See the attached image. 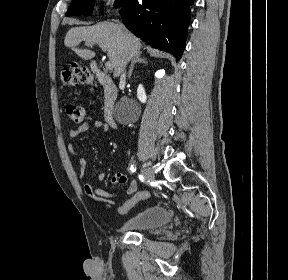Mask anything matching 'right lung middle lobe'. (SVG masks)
I'll use <instances>...</instances> for the list:
<instances>
[{
  "mask_svg": "<svg viewBox=\"0 0 288 280\" xmlns=\"http://www.w3.org/2000/svg\"><path fill=\"white\" fill-rule=\"evenodd\" d=\"M123 1L124 0H116L115 1L116 7L121 6ZM93 4L94 0H72V4L65 15L66 16L91 15Z\"/></svg>",
  "mask_w": 288,
  "mask_h": 280,
  "instance_id": "dd1d6c3e",
  "label": "right lung middle lobe"
}]
</instances>
